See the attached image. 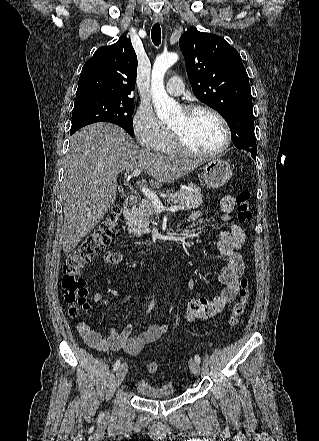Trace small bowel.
<instances>
[{"label": "small bowel", "mask_w": 319, "mask_h": 441, "mask_svg": "<svg viewBox=\"0 0 319 441\" xmlns=\"http://www.w3.org/2000/svg\"><path fill=\"white\" fill-rule=\"evenodd\" d=\"M235 199L232 196H225L220 202V220L230 223L227 230L218 235L217 248L225 259V265L220 273V282L223 284L222 291L210 299L192 295L188 298L186 311L183 316L185 322L194 320L212 319L219 315L227 305L231 304L237 297L239 291V279L244 270V262L240 250L245 243L243 229L234 223ZM200 217L196 211L189 216L190 221ZM104 261L108 264H119L123 262L122 254L109 251L104 255ZM193 290V282L188 283ZM93 300L101 302L103 295L99 291L93 293ZM132 324L129 322L121 331L111 329L107 337L92 329L84 321H79L77 329L81 337L88 345L101 351L123 350L129 354H139L145 346L158 340L170 328V323L163 325H151L137 335H131Z\"/></svg>", "instance_id": "small-bowel-1"}]
</instances>
